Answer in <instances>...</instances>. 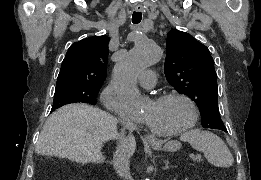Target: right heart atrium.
<instances>
[{
  "label": "right heart atrium",
  "instance_id": "d8ad5b80",
  "mask_svg": "<svg viewBox=\"0 0 261 180\" xmlns=\"http://www.w3.org/2000/svg\"><path fill=\"white\" fill-rule=\"evenodd\" d=\"M113 85H107L101 93V102L104 108H112V112L118 114V117H124V120H129V125L124 127H133L124 105H120L119 98H116V93Z\"/></svg>",
  "mask_w": 261,
  "mask_h": 180
}]
</instances>
